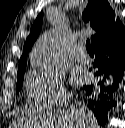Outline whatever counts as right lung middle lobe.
Returning a JSON list of instances; mask_svg holds the SVG:
<instances>
[{
  "label": "right lung middle lobe",
  "instance_id": "dd1d6c3e",
  "mask_svg": "<svg viewBox=\"0 0 125 128\" xmlns=\"http://www.w3.org/2000/svg\"><path fill=\"white\" fill-rule=\"evenodd\" d=\"M24 72L25 70H22L21 72L17 73V83H16V92L18 93L22 87L23 79H24Z\"/></svg>",
  "mask_w": 125,
  "mask_h": 128
}]
</instances>
